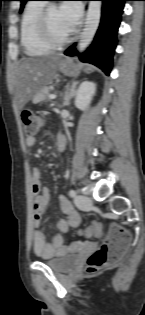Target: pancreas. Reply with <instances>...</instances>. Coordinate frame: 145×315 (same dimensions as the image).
<instances>
[{
    "mask_svg": "<svg viewBox=\"0 0 145 315\" xmlns=\"http://www.w3.org/2000/svg\"><path fill=\"white\" fill-rule=\"evenodd\" d=\"M51 87L43 88L37 95V98L42 101H47L50 95Z\"/></svg>",
    "mask_w": 145,
    "mask_h": 315,
    "instance_id": "1",
    "label": "pancreas"
}]
</instances>
